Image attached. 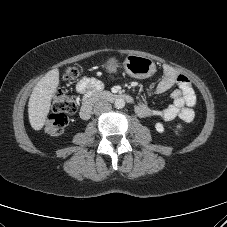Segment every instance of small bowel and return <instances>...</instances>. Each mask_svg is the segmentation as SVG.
<instances>
[{
	"label": "small bowel",
	"mask_w": 227,
	"mask_h": 227,
	"mask_svg": "<svg viewBox=\"0 0 227 227\" xmlns=\"http://www.w3.org/2000/svg\"><path fill=\"white\" fill-rule=\"evenodd\" d=\"M175 84L178 85V89L172 93V102L165 109H152L145 101H138L135 110L137 115L142 118L155 116L166 122L178 118L180 122L175 125L174 131L179 133L183 124L190 123L194 119L193 107L197 98L190 80L182 74H177L170 66H166L164 67L163 77L150 93H165ZM101 86L99 80L85 77L78 82L76 90L87 98L98 92Z\"/></svg>",
	"instance_id": "obj_1"
}]
</instances>
